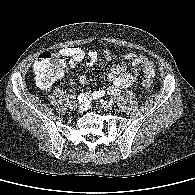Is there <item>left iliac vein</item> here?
<instances>
[{"instance_id": "obj_1", "label": "left iliac vein", "mask_w": 195, "mask_h": 195, "mask_svg": "<svg viewBox=\"0 0 195 195\" xmlns=\"http://www.w3.org/2000/svg\"><path fill=\"white\" fill-rule=\"evenodd\" d=\"M101 108L105 111H111L114 109V106L112 103L107 101H101Z\"/></svg>"}]
</instances>
